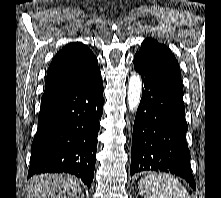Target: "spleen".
I'll use <instances>...</instances> for the list:
<instances>
[{"label":"spleen","instance_id":"1","mask_svg":"<svg viewBox=\"0 0 221 198\" xmlns=\"http://www.w3.org/2000/svg\"><path fill=\"white\" fill-rule=\"evenodd\" d=\"M138 188L145 198H190L178 179L167 173H151L143 177Z\"/></svg>","mask_w":221,"mask_h":198}]
</instances>
